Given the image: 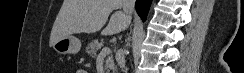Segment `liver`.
<instances>
[{
  "label": "liver",
  "instance_id": "obj_1",
  "mask_svg": "<svg viewBox=\"0 0 244 73\" xmlns=\"http://www.w3.org/2000/svg\"><path fill=\"white\" fill-rule=\"evenodd\" d=\"M122 7L121 0H64L52 27L49 45L75 33H95L106 24L110 13ZM124 12L112 14L102 35H114L130 23Z\"/></svg>",
  "mask_w": 244,
  "mask_h": 73
}]
</instances>
